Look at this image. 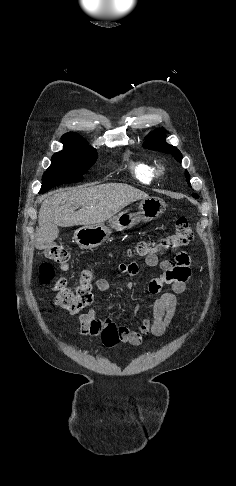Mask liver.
<instances>
[{
	"mask_svg": "<svg viewBox=\"0 0 236 486\" xmlns=\"http://www.w3.org/2000/svg\"><path fill=\"white\" fill-rule=\"evenodd\" d=\"M147 198L149 195L145 192L122 183L75 187L50 193L39 210L38 235L51 224L61 227L101 224L130 203ZM78 206L81 209L75 211Z\"/></svg>",
	"mask_w": 236,
	"mask_h": 486,
	"instance_id": "6515ba94",
	"label": "liver"
}]
</instances>
